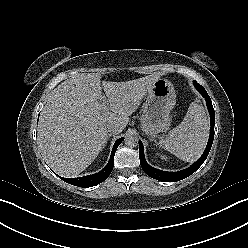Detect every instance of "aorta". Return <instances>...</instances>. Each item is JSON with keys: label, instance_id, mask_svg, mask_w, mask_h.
<instances>
[{"label": "aorta", "instance_id": "1", "mask_svg": "<svg viewBox=\"0 0 248 248\" xmlns=\"http://www.w3.org/2000/svg\"><path fill=\"white\" fill-rule=\"evenodd\" d=\"M139 142V137L137 134L133 133V132H129L126 134L125 136V144L130 147H136L138 145Z\"/></svg>", "mask_w": 248, "mask_h": 248}]
</instances>
